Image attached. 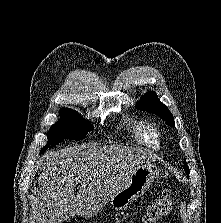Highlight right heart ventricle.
I'll list each match as a JSON object with an SVG mask.
<instances>
[{"label":"right heart ventricle","mask_w":221,"mask_h":223,"mask_svg":"<svg viewBox=\"0 0 221 223\" xmlns=\"http://www.w3.org/2000/svg\"><path fill=\"white\" fill-rule=\"evenodd\" d=\"M134 137L147 145L157 147L159 145V133L149 123L139 120L135 121L131 127Z\"/></svg>","instance_id":"1"}]
</instances>
